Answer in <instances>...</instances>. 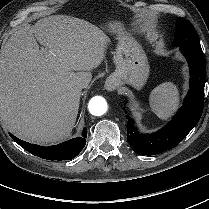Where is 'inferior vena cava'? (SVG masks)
<instances>
[{"instance_id": "obj_1", "label": "inferior vena cava", "mask_w": 209, "mask_h": 209, "mask_svg": "<svg viewBox=\"0 0 209 209\" xmlns=\"http://www.w3.org/2000/svg\"><path fill=\"white\" fill-rule=\"evenodd\" d=\"M84 88V85L82 83H77L75 86V89L81 93L82 89Z\"/></svg>"}]
</instances>
